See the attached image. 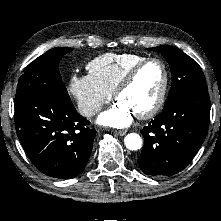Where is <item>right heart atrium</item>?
Returning a JSON list of instances; mask_svg holds the SVG:
<instances>
[{
    "label": "right heart atrium",
    "mask_w": 221,
    "mask_h": 221,
    "mask_svg": "<svg viewBox=\"0 0 221 221\" xmlns=\"http://www.w3.org/2000/svg\"><path fill=\"white\" fill-rule=\"evenodd\" d=\"M68 91L85 117L97 114L112 97L90 74H74L70 78Z\"/></svg>",
    "instance_id": "right-heart-atrium-1"
}]
</instances>
